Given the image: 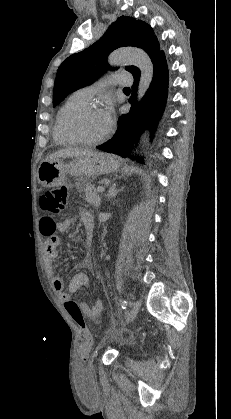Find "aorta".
I'll list each match as a JSON object with an SVG mask.
<instances>
[{"label": "aorta", "mask_w": 231, "mask_h": 419, "mask_svg": "<svg viewBox=\"0 0 231 419\" xmlns=\"http://www.w3.org/2000/svg\"><path fill=\"white\" fill-rule=\"evenodd\" d=\"M111 65L130 63L140 70L138 101L142 99L153 78L154 67L150 57L141 49H118L108 57Z\"/></svg>", "instance_id": "aorta-1"}]
</instances>
